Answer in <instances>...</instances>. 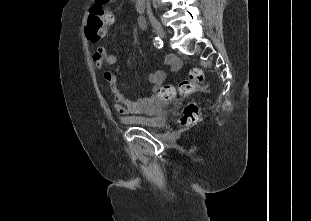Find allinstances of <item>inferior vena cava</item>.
<instances>
[{
  "label": "inferior vena cava",
  "mask_w": 311,
  "mask_h": 221,
  "mask_svg": "<svg viewBox=\"0 0 311 221\" xmlns=\"http://www.w3.org/2000/svg\"><path fill=\"white\" fill-rule=\"evenodd\" d=\"M146 6H147V14H149V16H152L150 0H147Z\"/></svg>",
  "instance_id": "1"
}]
</instances>
